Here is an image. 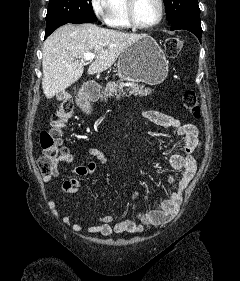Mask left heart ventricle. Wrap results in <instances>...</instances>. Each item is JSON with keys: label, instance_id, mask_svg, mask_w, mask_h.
Listing matches in <instances>:
<instances>
[{"label": "left heart ventricle", "instance_id": "1", "mask_svg": "<svg viewBox=\"0 0 240 281\" xmlns=\"http://www.w3.org/2000/svg\"><path fill=\"white\" fill-rule=\"evenodd\" d=\"M159 14L157 0H136V18L141 24L153 23Z\"/></svg>", "mask_w": 240, "mask_h": 281}]
</instances>
